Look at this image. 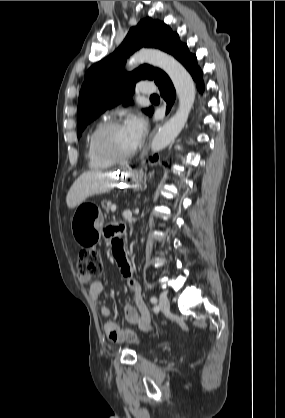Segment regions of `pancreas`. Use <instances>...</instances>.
<instances>
[{
    "instance_id": "cf45deb5",
    "label": "pancreas",
    "mask_w": 285,
    "mask_h": 418,
    "mask_svg": "<svg viewBox=\"0 0 285 418\" xmlns=\"http://www.w3.org/2000/svg\"><path fill=\"white\" fill-rule=\"evenodd\" d=\"M102 207L108 212L110 209V202L108 201L102 202Z\"/></svg>"
}]
</instances>
